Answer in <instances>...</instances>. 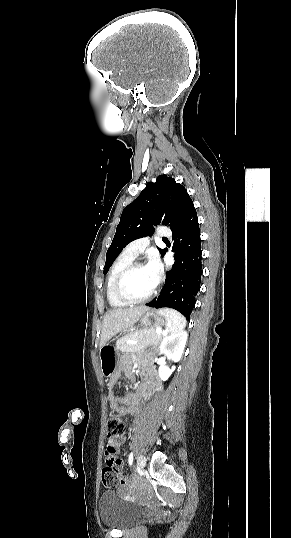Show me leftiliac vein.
I'll return each mask as SVG.
<instances>
[{
    "label": "left iliac vein",
    "mask_w": 291,
    "mask_h": 538,
    "mask_svg": "<svg viewBox=\"0 0 291 538\" xmlns=\"http://www.w3.org/2000/svg\"><path fill=\"white\" fill-rule=\"evenodd\" d=\"M146 465V459L143 455H140L137 459V469L142 471Z\"/></svg>",
    "instance_id": "left-iliac-vein-1"
}]
</instances>
